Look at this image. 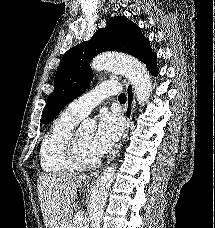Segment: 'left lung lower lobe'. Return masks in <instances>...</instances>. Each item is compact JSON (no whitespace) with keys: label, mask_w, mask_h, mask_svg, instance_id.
Returning <instances> with one entry per match:
<instances>
[{"label":"left lung lower lobe","mask_w":215,"mask_h":228,"mask_svg":"<svg viewBox=\"0 0 215 228\" xmlns=\"http://www.w3.org/2000/svg\"><path fill=\"white\" fill-rule=\"evenodd\" d=\"M156 59H157V56L156 54L154 53L151 58L147 61L146 63V66L148 68V70L150 71V73L153 75V76H156L158 74V68H157V65H156Z\"/></svg>","instance_id":"1"}]
</instances>
